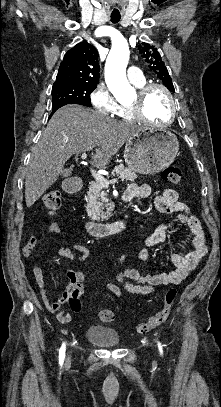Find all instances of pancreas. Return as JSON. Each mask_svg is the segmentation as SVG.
<instances>
[{"instance_id": "pancreas-1", "label": "pancreas", "mask_w": 221, "mask_h": 407, "mask_svg": "<svg viewBox=\"0 0 221 407\" xmlns=\"http://www.w3.org/2000/svg\"><path fill=\"white\" fill-rule=\"evenodd\" d=\"M112 174L119 176L122 181L127 182H133L138 177L135 171L123 165L116 166ZM86 203V211L92 220L103 221L108 219L111 215L112 206L107 197V193L96 181L90 183Z\"/></svg>"}]
</instances>
